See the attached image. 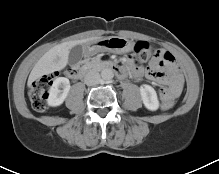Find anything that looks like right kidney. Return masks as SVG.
<instances>
[{"mask_svg": "<svg viewBox=\"0 0 219 174\" xmlns=\"http://www.w3.org/2000/svg\"><path fill=\"white\" fill-rule=\"evenodd\" d=\"M70 90L69 79L65 77H58L53 81L49 89V96L47 102L50 106H59L66 99Z\"/></svg>", "mask_w": 219, "mask_h": 174, "instance_id": "ca27d5eb", "label": "right kidney"}]
</instances>
